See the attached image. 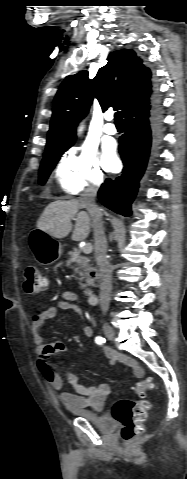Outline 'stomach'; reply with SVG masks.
Returning a JSON list of instances; mask_svg holds the SVG:
<instances>
[{"instance_id":"obj_1","label":"stomach","mask_w":187,"mask_h":479,"mask_svg":"<svg viewBox=\"0 0 187 479\" xmlns=\"http://www.w3.org/2000/svg\"><path fill=\"white\" fill-rule=\"evenodd\" d=\"M28 243L35 260L41 265L53 264L62 255L61 242L40 229L30 232Z\"/></svg>"}]
</instances>
